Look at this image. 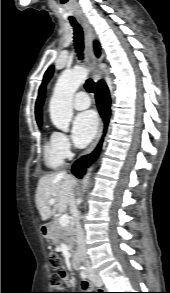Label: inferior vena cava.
<instances>
[{"instance_id":"obj_1","label":"inferior vena cava","mask_w":170,"mask_h":293,"mask_svg":"<svg viewBox=\"0 0 170 293\" xmlns=\"http://www.w3.org/2000/svg\"><path fill=\"white\" fill-rule=\"evenodd\" d=\"M71 209L74 212L75 218H76V243H77V253L83 260L84 264L89 267V261L87 259L86 254V247H85V240H84V232L83 229L79 223V216L76 210V204L74 201V194L72 193L71 196Z\"/></svg>"}]
</instances>
